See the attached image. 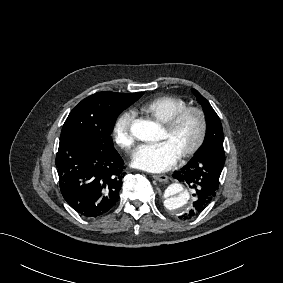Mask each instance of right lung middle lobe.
Listing matches in <instances>:
<instances>
[{
    "mask_svg": "<svg viewBox=\"0 0 283 283\" xmlns=\"http://www.w3.org/2000/svg\"><path fill=\"white\" fill-rule=\"evenodd\" d=\"M143 92H98L82 100L67 117L61 139L83 137L98 144L113 146L110 134L118 115L137 101Z\"/></svg>",
    "mask_w": 283,
    "mask_h": 283,
    "instance_id": "obj_1",
    "label": "right lung middle lobe"
}]
</instances>
